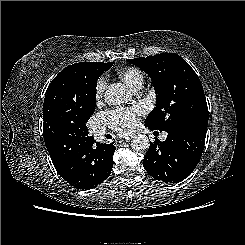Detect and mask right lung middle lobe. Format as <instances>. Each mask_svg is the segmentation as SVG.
Masks as SVG:
<instances>
[{
	"instance_id": "right-lung-middle-lobe-1",
	"label": "right lung middle lobe",
	"mask_w": 245,
	"mask_h": 245,
	"mask_svg": "<svg viewBox=\"0 0 245 245\" xmlns=\"http://www.w3.org/2000/svg\"><path fill=\"white\" fill-rule=\"evenodd\" d=\"M112 65L113 62L104 63V64L91 63V65L86 70V73L83 78V85L88 95L89 108L84 118V121L79 128V134L81 135H88L86 122L88 121L89 117L94 113L95 110L97 80L104 73V71H107Z\"/></svg>"
}]
</instances>
